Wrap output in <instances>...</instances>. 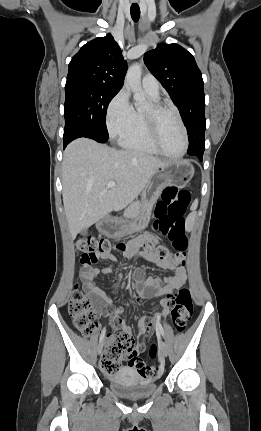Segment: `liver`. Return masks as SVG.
I'll return each mask as SVG.
<instances>
[{
    "mask_svg": "<svg viewBox=\"0 0 261 431\" xmlns=\"http://www.w3.org/2000/svg\"><path fill=\"white\" fill-rule=\"evenodd\" d=\"M166 164L142 152L117 150L87 138L72 141L62 163L63 204L72 239L130 204ZM110 181L115 186L107 188Z\"/></svg>",
    "mask_w": 261,
    "mask_h": 431,
    "instance_id": "1",
    "label": "liver"
}]
</instances>
